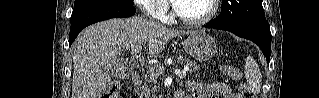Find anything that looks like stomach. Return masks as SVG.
<instances>
[{
	"instance_id": "0dacf381",
	"label": "stomach",
	"mask_w": 319,
	"mask_h": 98,
	"mask_svg": "<svg viewBox=\"0 0 319 98\" xmlns=\"http://www.w3.org/2000/svg\"><path fill=\"white\" fill-rule=\"evenodd\" d=\"M187 54L198 61H207L217 52L215 40L204 31H192L184 41Z\"/></svg>"
}]
</instances>
